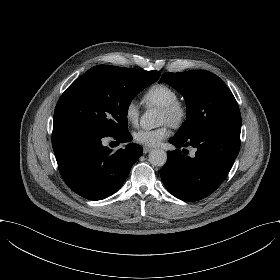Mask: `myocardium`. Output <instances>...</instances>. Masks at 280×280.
Masks as SVG:
<instances>
[{
	"instance_id": "f54148a6",
	"label": "myocardium",
	"mask_w": 280,
	"mask_h": 280,
	"mask_svg": "<svg viewBox=\"0 0 280 280\" xmlns=\"http://www.w3.org/2000/svg\"><path fill=\"white\" fill-rule=\"evenodd\" d=\"M161 109L170 116V124L173 127H179L184 124L189 116V107L181 100L162 105Z\"/></svg>"
}]
</instances>
